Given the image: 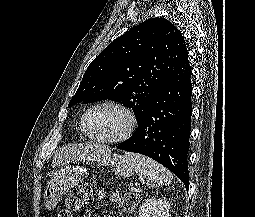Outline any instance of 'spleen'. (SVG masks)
Returning <instances> with one entry per match:
<instances>
[{"label":"spleen","mask_w":255,"mask_h":217,"mask_svg":"<svg viewBox=\"0 0 255 217\" xmlns=\"http://www.w3.org/2000/svg\"><path fill=\"white\" fill-rule=\"evenodd\" d=\"M127 159L131 162L134 171L151 187H160L171 184L173 175L164 166L141 154L126 153Z\"/></svg>","instance_id":"1"}]
</instances>
